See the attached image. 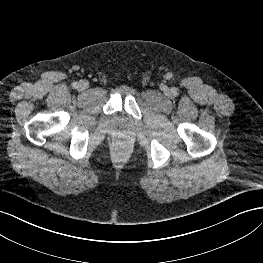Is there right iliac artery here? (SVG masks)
Wrapping results in <instances>:
<instances>
[{
  "instance_id": "right-iliac-artery-1",
  "label": "right iliac artery",
  "mask_w": 263,
  "mask_h": 263,
  "mask_svg": "<svg viewBox=\"0 0 263 263\" xmlns=\"http://www.w3.org/2000/svg\"><path fill=\"white\" fill-rule=\"evenodd\" d=\"M72 87H73V88H77V87H78L77 82H73V83H72Z\"/></svg>"
}]
</instances>
